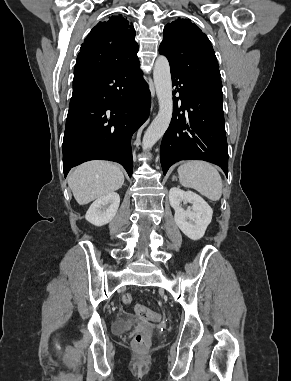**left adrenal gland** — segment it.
Here are the masks:
<instances>
[{
  "mask_svg": "<svg viewBox=\"0 0 291 381\" xmlns=\"http://www.w3.org/2000/svg\"><path fill=\"white\" fill-rule=\"evenodd\" d=\"M175 179H176V177H175V176H173V177H172V180H175Z\"/></svg>",
  "mask_w": 291,
  "mask_h": 381,
  "instance_id": "a2214340",
  "label": "left adrenal gland"
}]
</instances>
